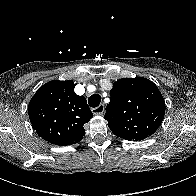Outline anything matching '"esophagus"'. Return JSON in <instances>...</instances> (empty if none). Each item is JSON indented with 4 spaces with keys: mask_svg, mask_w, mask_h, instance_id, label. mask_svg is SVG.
<instances>
[{
    "mask_svg": "<svg viewBox=\"0 0 196 196\" xmlns=\"http://www.w3.org/2000/svg\"><path fill=\"white\" fill-rule=\"evenodd\" d=\"M104 112H105L104 104H100L99 106L92 108V113L94 115H103Z\"/></svg>",
    "mask_w": 196,
    "mask_h": 196,
    "instance_id": "obj_1",
    "label": "esophagus"
}]
</instances>
